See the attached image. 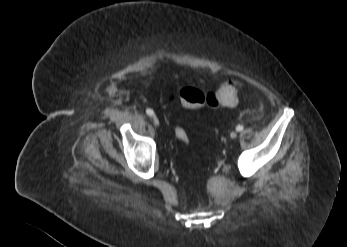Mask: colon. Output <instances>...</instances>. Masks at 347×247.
Here are the masks:
<instances>
[{
    "instance_id": "obj_1",
    "label": "colon",
    "mask_w": 347,
    "mask_h": 247,
    "mask_svg": "<svg viewBox=\"0 0 347 247\" xmlns=\"http://www.w3.org/2000/svg\"><path fill=\"white\" fill-rule=\"evenodd\" d=\"M180 102L187 108H200L208 106L211 108L232 107L237 102V90L232 82L223 83L216 91L204 93L193 86H186L177 93L171 94L167 104L169 106ZM175 137L183 144H189V135L181 125L174 127Z\"/></svg>"
}]
</instances>
